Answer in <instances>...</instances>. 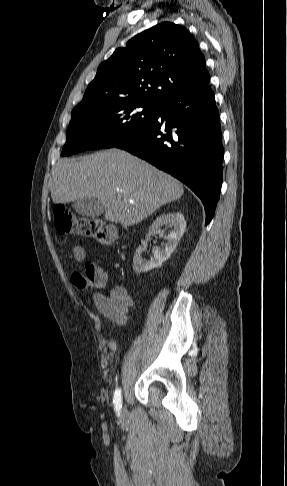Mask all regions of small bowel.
I'll list each match as a JSON object with an SVG mask.
<instances>
[{
  "instance_id": "1",
  "label": "small bowel",
  "mask_w": 287,
  "mask_h": 486,
  "mask_svg": "<svg viewBox=\"0 0 287 486\" xmlns=\"http://www.w3.org/2000/svg\"><path fill=\"white\" fill-rule=\"evenodd\" d=\"M85 257L86 251L82 246L73 248V259L76 262H82ZM93 302L105 317L119 325L125 324L126 315L134 305L132 297L120 284H112L107 294L95 293Z\"/></svg>"
}]
</instances>
